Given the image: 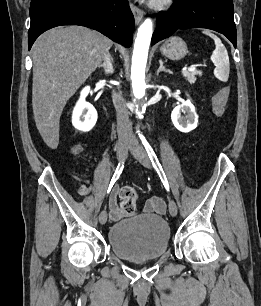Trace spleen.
I'll list each match as a JSON object with an SVG mask.
<instances>
[{
  "instance_id": "1",
  "label": "spleen",
  "mask_w": 261,
  "mask_h": 306,
  "mask_svg": "<svg viewBox=\"0 0 261 306\" xmlns=\"http://www.w3.org/2000/svg\"><path fill=\"white\" fill-rule=\"evenodd\" d=\"M203 33L211 37L215 42V50L211 55V61L215 65L214 75L220 81L226 82L230 71L228 52L217 36L210 31H203Z\"/></svg>"
}]
</instances>
